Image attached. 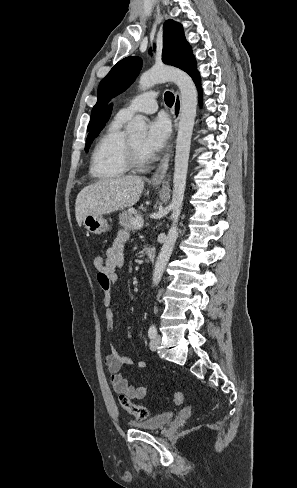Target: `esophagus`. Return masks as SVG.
I'll use <instances>...</instances> for the list:
<instances>
[{
    "label": "esophagus",
    "mask_w": 297,
    "mask_h": 488,
    "mask_svg": "<svg viewBox=\"0 0 297 488\" xmlns=\"http://www.w3.org/2000/svg\"><path fill=\"white\" fill-rule=\"evenodd\" d=\"M180 113H181V95H180V92L177 90L175 92V101H174V105H173L174 131H173L172 136L170 138V141L168 143L166 152H165L164 156L162 157V159L160 160V162H159V164H158V166H157V168H156V170L152 176L151 180L154 184H159V183L164 181L166 172L168 170L169 162H170V159H171L172 153H173V147H174L173 138H174L175 132L177 130L178 121L180 118Z\"/></svg>",
    "instance_id": "1"
}]
</instances>
